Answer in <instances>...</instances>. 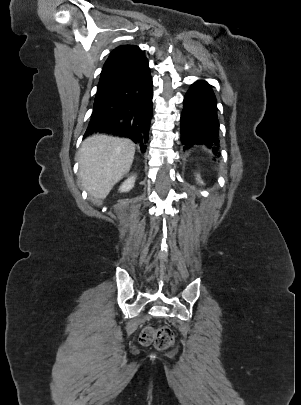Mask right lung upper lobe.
Masks as SVG:
<instances>
[{
  "label": "right lung upper lobe",
  "instance_id": "1",
  "mask_svg": "<svg viewBox=\"0 0 301 405\" xmlns=\"http://www.w3.org/2000/svg\"><path fill=\"white\" fill-rule=\"evenodd\" d=\"M144 59L136 45L115 48L106 60L100 75L96 96H101L124 80Z\"/></svg>",
  "mask_w": 301,
  "mask_h": 405
}]
</instances>
